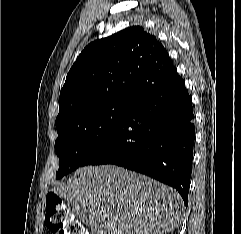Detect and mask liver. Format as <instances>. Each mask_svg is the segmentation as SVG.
Instances as JSON below:
<instances>
[{"label":"liver","instance_id":"liver-1","mask_svg":"<svg viewBox=\"0 0 241 234\" xmlns=\"http://www.w3.org/2000/svg\"><path fill=\"white\" fill-rule=\"evenodd\" d=\"M54 193L81 211L92 234H166L183 217L175 189L115 165L79 168Z\"/></svg>","mask_w":241,"mask_h":234}]
</instances>
